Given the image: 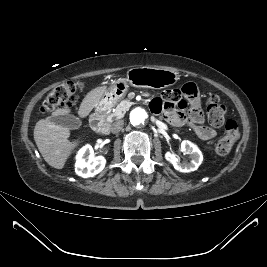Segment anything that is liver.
<instances>
[{"label":"liver","instance_id":"obj_1","mask_svg":"<svg viewBox=\"0 0 267 267\" xmlns=\"http://www.w3.org/2000/svg\"><path fill=\"white\" fill-rule=\"evenodd\" d=\"M106 90V86L97 87L82 100L79 107V115L87 116L100 100ZM70 112L68 107L58 108L52 112V117L66 115ZM70 129L57 125L50 119L39 120L34 128V140L44 160L56 169H62L78 145L77 142H70Z\"/></svg>","mask_w":267,"mask_h":267}]
</instances>
